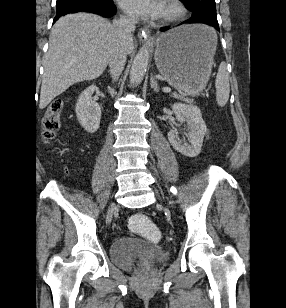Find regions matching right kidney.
<instances>
[{
    "label": "right kidney",
    "mask_w": 286,
    "mask_h": 308,
    "mask_svg": "<svg viewBox=\"0 0 286 308\" xmlns=\"http://www.w3.org/2000/svg\"><path fill=\"white\" fill-rule=\"evenodd\" d=\"M95 89V85L87 87L79 96L75 109L78 122L88 133L96 132L100 126L101 109L92 99Z\"/></svg>",
    "instance_id": "obj_1"
}]
</instances>
